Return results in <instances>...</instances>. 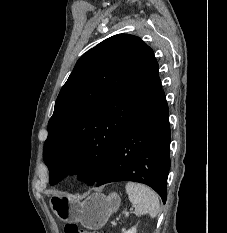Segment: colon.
I'll use <instances>...</instances> for the list:
<instances>
[{
	"label": "colon",
	"instance_id": "obj_1",
	"mask_svg": "<svg viewBox=\"0 0 227 233\" xmlns=\"http://www.w3.org/2000/svg\"><path fill=\"white\" fill-rule=\"evenodd\" d=\"M64 233H108V232L84 229L77 225H67L64 229Z\"/></svg>",
	"mask_w": 227,
	"mask_h": 233
}]
</instances>
